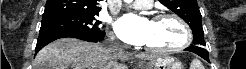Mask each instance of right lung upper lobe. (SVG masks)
<instances>
[{
	"label": "right lung upper lobe",
	"instance_id": "1",
	"mask_svg": "<svg viewBox=\"0 0 246 69\" xmlns=\"http://www.w3.org/2000/svg\"><path fill=\"white\" fill-rule=\"evenodd\" d=\"M101 0H47L43 17L59 14H98Z\"/></svg>",
	"mask_w": 246,
	"mask_h": 69
}]
</instances>
